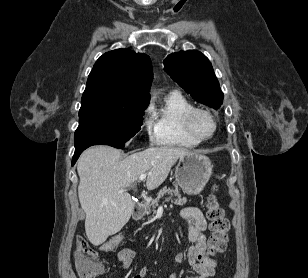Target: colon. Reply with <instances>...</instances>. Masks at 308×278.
Returning <instances> with one entry per match:
<instances>
[{"label": "colon", "instance_id": "5ec220e1", "mask_svg": "<svg viewBox=\"0 0 308 278\" xmlns=\"http://www.w3.org/2000/svg\"><path fill=\"white\" fill-rule=\"evenodd\" d=\"M207 217L211 222L212 231L208 253L210 256H217L226 249L230 224L214 194H210L207 199ZM123 241V235H110L109 240L101 243V252L116 253L120 248L118 242ZM74 258L79 278H97L104 271V265L99 260L97 251L83 236H78L76 239Z\"/></svg>", "mask_w": 308, "mask_h": 278}]
</instances>
